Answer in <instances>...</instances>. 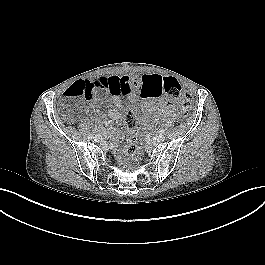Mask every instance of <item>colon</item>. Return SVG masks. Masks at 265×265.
I'll use <instances>...</instances> for the list:
<instances>
[{
	"mask_svg": "<svg viewBox=\"0 0 265 265\" xmlns=\"http://www.w3.org/2000/svg\"><path fill=\"white\" fill-rule=\"evenodd\" d=\"M153 83L156 84V88L152 92L153 97L164 95L168 100L176 102L183 112H188L191 109L192 100L189 95L183 93L182 87L176 78L167 76L163 77L161 81H154ZM103 87V83L81 80L73 83L66 90V95L69 98H90L94 89ZM135 114L136 112L133 110L125 117L126 125L130 131L125 161L129 169H135L139 164Z\"/></svg>",
	"mask_w": 265,
	"mask_h": 265,
	"instance_id": "colon-1",
	"label": "colon"
}]
</instances>
